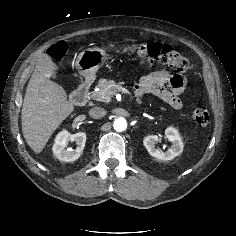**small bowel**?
<instances>
[{
    "label": "small bowel",
    "instance_id": "c3829d8e",
    "mask_svg": "<svg viewBox=\"0 0 236 236\" xmlns=\"http://www.w3.org/2000/svg\"><path fill=\"white\" fill-rule=\"evenodd\" d=\"M186 86V78L180 74H173L166 70L154 71L140 79L135 86L138 95L151 93L174 109H181L183 102L179 95Z\"/></svg>",
    "mask_w": 236,
    "mask_h": 236
}]
</instances>
